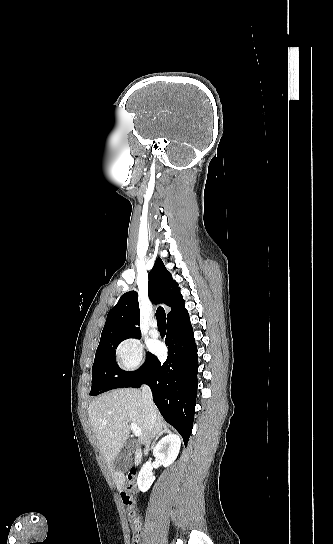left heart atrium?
Segmentation results:
<instances>
[{
    "instance_id": "1",
    "label": "left heart atrium",
    "mask_w": 333,
    "mask_h": 544,
    "mask_svg": "<svg viewBox=\"0 0 333 544\" xmlns=\"http://www.w3.org/2000/svg\"><path fill=\"white\" fill-rule=\"evenodd\" d=\"M153 351H154V352H160V351H161V346H160L159 343L155 342V343L153 344Z\"/></svg>"
}]
</instances>
